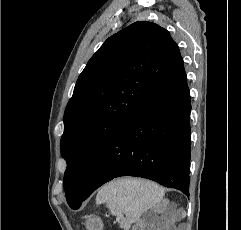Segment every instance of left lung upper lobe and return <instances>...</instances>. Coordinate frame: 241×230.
I'll use <instances>...</instances> for the list:
<instances>
[{"mask_svg":"<svg viewBox=\"0 0 241 230\" xmlns=\"http://www.w3.org/2000/svg\"><path fill=\"white\" fill-rule=\"evenodd\" d=\"M182 62L170 33L147 21L109 37L88 61L64 114L61 154L69 206L85 193L112 135Z\"/></svg>","mask_w":241,"mask_h":230,"instance_id":"1","label":"left lung upper lobe"}]
</instances>
